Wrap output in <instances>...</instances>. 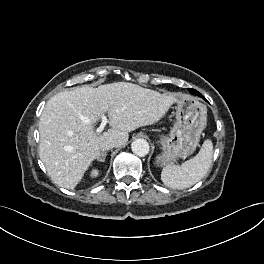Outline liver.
Here are the masks:
<instances>
[{"label": "liver", "instance_id": "obj_1", "mask_svg": "<svg viewBox=\"0 0 264 264\" xmlns=\"http://www.w3.org/2000/svg\"><path fill=\"white\" fill-rule=\"evenodd\" d=\"M176 101L175 94H160L136 84L116 82L76 87L54 95L39 121V156L52 181L74 189L108 139L123 146L129 132L158 122ZM107 113L111 129L94 130Z\"/></svg>", "mask_w": 264, "mask_h": 264}]
</instances>
